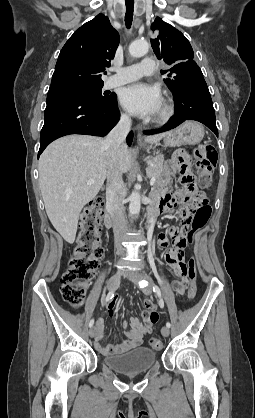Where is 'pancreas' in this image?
<instances>
[{
    "instance_id": "cf45deb5",
    "label": "pancreas",
    "mask_w": 255,
    "mask_h": 418,
    "mask_svg": "<svg viewBox=\"0 0 255 418\" xmlns=\"http://www.w3.org/2000/svg\"><path fill=\"white\" fill-rule=\"evenodd\" d=\"M147 163L148 167L146 168V172L148 177H155L157 180H159L163 172L164 156L158 155L156 157L150 158L148 159Z\"/></svg>"
}]
</instances>
